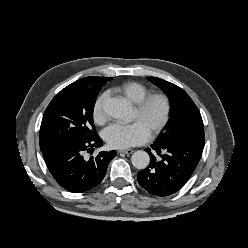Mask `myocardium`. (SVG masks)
Returning <instances> with one entry per match:
<instances>
[{
    "label": "myocardium",
    "instance_id": "f54148a6",
    "mask_svg": "<svg viewBox=\"0 0 248 248\" xmlns=\"http://www.w3.org/2000/svg\"><path fill=\"white\" fill-rule=\"evenodd\" d=\"M155 100H159L162 103L163 111L158 121L149 130V134L152 136L158 134L169 120L171 114L170 98L165 93L152 92L148 93L138 103H136V110L140 115H142L147 111L150 104Z\"/></svg>",
    "mask_w": 248,
    "mask_h": 248
}]
</instances>
